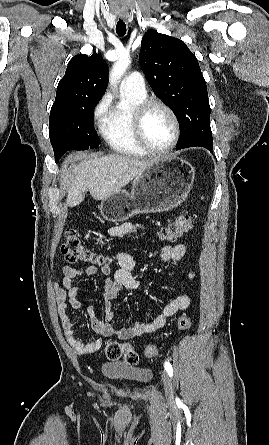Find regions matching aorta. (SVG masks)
<instances>
[{
  "mask_svg": "<svg viewBox=\"0 0 269 445\" xmlns=\"http://www.w3.org/2000/svg\"><path fill=\"white\" fill-rule=\"evenodd\" d=\"M130 63L131 60L128 55L121 56L114 64L112 71L110 73L111 82L114 83L117 82L122 77V75L124 74Z\"/></svg>",
  "mask_w": 269,
  "mask_h": 445,
  "instance_id": "762f6f07",
  "label": "aorta"
}]
</instances>
